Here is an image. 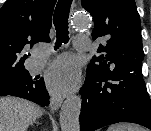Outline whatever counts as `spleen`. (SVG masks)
I'll use <instances>...</instances> for the list:
<instances>
[{
	"label": "spleen",
	"instance_id": "obj_1",
	"mask_svg": "<svg viewBox=\"0 0 151 131\" xmlns=\"http://www.w3.org/2000/svg\"><path fill=\"white\" fill-rule=\"evenodd\" d=\"M107 131H144L139 126L133 124H115L111 125Z\"/></svg>",
	"mask_w": 151,
	"mask_h": 131
}]
</instances>
